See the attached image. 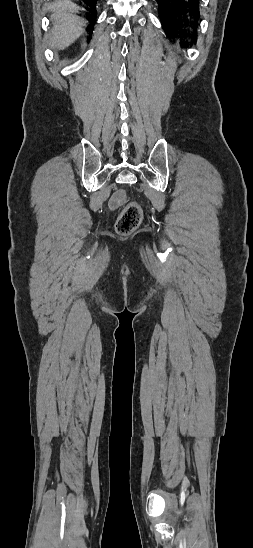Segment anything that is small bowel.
Instances as JSON below:
<instances>
[{
	"label": "small bowel",
	"instance_id": "c3829d8e",
	"mask_svg": "<svg viewBox=\"0 0 253 548\" xmlns=\"http://www.w3.org/2000/svg\"><path fill=\"white\" fill-rule=\"evenodd\" d=\"M125 201V192L122 189L117 190L110 199L111 209H117Z\"/></svg>",
	"mask_w": 253,
	"mask_h": 548
}]
</instances>
